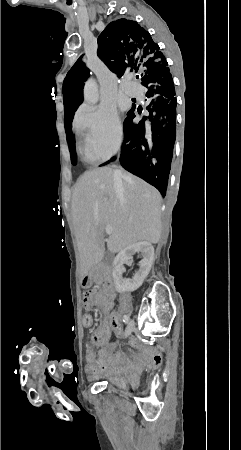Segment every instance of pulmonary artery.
<instances>
[{
	"instance_id": "pulmonary-artery-1",
	"label": "pulmonary artery",
	"mask_w": 241,
	"mask_h": 450,
	"mask_svg": "<svg viewBox=\"0 0 241 450\" xmlns=\"http://www.w3.org/2000/svg\"><path fill=\"white\" fill-rule=\"evenodd\" d=\"M122 85H123L124 87H129V86L131 85V80H130L129 78H124V79L122 80Z\"/></svg>"
}]
</instances>
